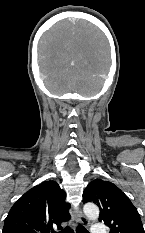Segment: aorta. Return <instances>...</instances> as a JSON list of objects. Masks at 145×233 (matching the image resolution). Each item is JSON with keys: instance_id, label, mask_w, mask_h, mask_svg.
<instances>
[{"instance_id": "obj_1", "label": "aorta", "mask_w": 145, "mask_h": 233, "mask_svg": "<svg viewBox=\"0 0 145 233\" xmlns=\"http://www.w3.org/2000/svg\"><path fill=\"white\" fill-rule=\"evenodd\" d=\"M84 214L89 220H97L99 217V208L93 203H87L83 207Z\"/></svg>"}]
</instances>
